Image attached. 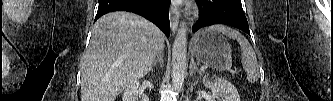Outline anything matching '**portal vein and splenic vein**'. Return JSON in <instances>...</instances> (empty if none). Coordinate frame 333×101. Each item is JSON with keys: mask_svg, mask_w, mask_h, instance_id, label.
Segmentation results:
<instances>
[{"mask_svg": "<svg viewBox=\"0 0 333 101\" xmlns=\"http://www.w3.org/2000/svg\"><path fill=\"white\" fill-rule=\"evenodd\" d=\"M205 69H207L206 65L202 67V70H205ZM224 69L229 71L231 69V63H229Z\"/></svg>", "mask_w": 333, "mask_h": 101, "instance_id": "portal-vein-and-splenic-vein-1", "label": "portal vein and splenic vein"}]
</instances>
